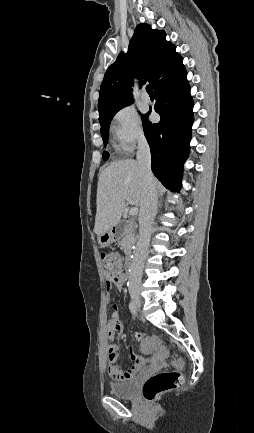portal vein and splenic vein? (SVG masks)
<instances>
[{"mask_svg": "<svg viewBox=\"0 0 254 433\" xmlns=\"http://www.w3.org/2000/svg\"><path fill=\"white\" fill-rule=\"evenodd\" d=\"M127 203H128V204H131V205L134 204L133 201H132L131 199H127ZM137 213H138V208H137V207H132V208L129 210V214H130L131 216H135V215H137Z\"/></svg>", "mask_w": 254, "mask_h": 433, "instance_id": "1", "label": "portal vein and splenic vein"}]
</instances>
